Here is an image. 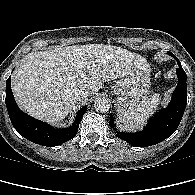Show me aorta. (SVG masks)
I'll use <instances>...</instances> for the list:
<instances>
[{"mask_svg":"<svg viewBox=\"0 0 195 195\" xmlns=\"http://www.w3.org/2000/svg\"><path fill=\"white\" fill-rule=\"evenodd\" d=\"M94 108L99 112H107L110 109V103L104 98L97 99L94 103Z\"/></svg>","mask_w":195,"mask_h":195,"instance_id":"obj_1","label":"aorta"}]
</instances>
